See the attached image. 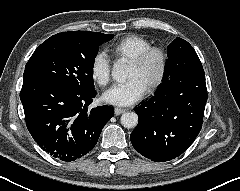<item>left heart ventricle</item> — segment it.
<instances>
[{
  "mask_svg": "<svg viewBox=\"0 0 240 191\" xmlns=\"http://www.w3.org/2000/svg\"><path fill=\"white\" fill-rule=\"evenodd\" d=\"M159 59L157 56L151 57L143 66L129 64L127 78L136 77L147 87L155 79L159 71Z\"/></svg>",
  "mask_w": 240,
  "mask_h": 191,
  "instance_id": "b2bd125f",
  "label": "left heart ventricle"
}]
</instances>
